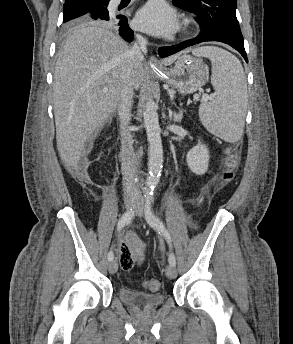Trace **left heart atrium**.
I'll use <instances>...</instances> for the list:
<instances>
[{"label":"left heart atrium","mask_w":293,"mask_h":344,"mask_svg":"<svg viewBox=\"0 0 293 344\" xmlns=\"http://www.w3.org/2000/svg\"><path fill=\"white\" fill-rule=\"evenodd\" d=\"M178 25L176 13L163 0H152L135 18V26L139 30L159 37L174 33Z\"/></svg>","instance_id":"obj_1"}]
</instances>
